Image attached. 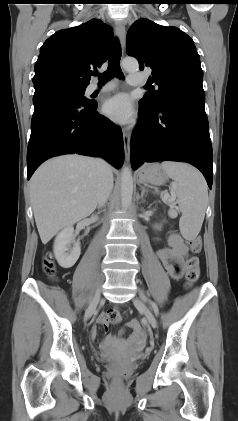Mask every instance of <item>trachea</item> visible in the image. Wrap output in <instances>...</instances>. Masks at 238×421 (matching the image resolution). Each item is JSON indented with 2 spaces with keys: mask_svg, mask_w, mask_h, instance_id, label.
Returning a JSON list of instances; mask_svg holds the SVG:
<instances>
[{
  "mask_svg": "<svg viewBox=\"0 0 238 421\" xmlns=\"http://www.w3.org/2000/svg\"><path fill=\"white\" fill-rule=\"evenodd\" d=\"M120 59H121V48L118 40L116 39L110 53L108 60V68L103 75L100 76V83L106 82L113 77L122 78L123 74L120 69Z\"/></svg>",
  "mask_w": 238,
  "mask_h": 421,
  "instance_id": "1",
  "label": "trachea"
}]
</instances>
